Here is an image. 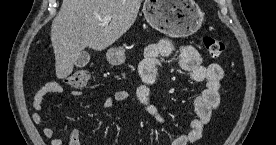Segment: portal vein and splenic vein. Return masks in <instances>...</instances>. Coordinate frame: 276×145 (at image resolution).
<instances>
[{
    "label": "portal vein and splenic vein",
    "instance_id": "portal-vein-and-splenic-vein-1",
    "mask_svg": "<svg viewBox=\"0 0 276 145\" xmlns=\"http://www.w3.org/2000/svg\"><path fill=\"white\" fill-rule=\"evenodd\" d=\"M112 17L111 16H105L102 18V22L103 23H109L111 21Z\"/></svg>",
    "mask_w": 276,
    "mask_h": 145
}]
</instances>
